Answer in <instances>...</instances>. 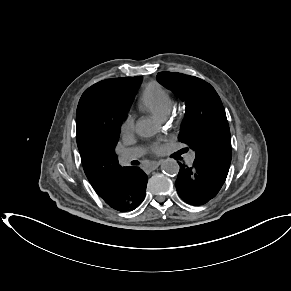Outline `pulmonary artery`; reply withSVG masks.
<instances>
[{"instance_id":"e3ab8cb5","label":"pulmonary artery","mask_w":291,"mask_h":291,"mask_svg":"<svg viewBox=\"0 0 291 291\" xmlns=\"http://www.w3.org/2000/svg\"><path fill=\"white\" fill-rule=\"evenodd\" d=\"M143 154L142 149L140 148H132L128 149L120 155V161L123 164H128L130 161L139 158ZM195 159V154L191 153L187 157V163L191 165Z\"/></svg>"}]
</instances>
